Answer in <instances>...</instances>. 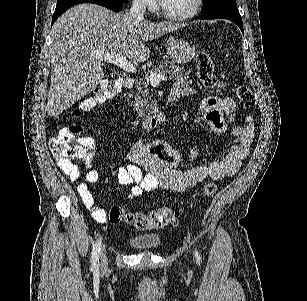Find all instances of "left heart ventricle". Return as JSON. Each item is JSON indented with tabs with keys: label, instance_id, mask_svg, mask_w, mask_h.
Returning a JSON list of instances; mask_svg holds the SVG:
<instances>
[{
	"label": "left heart ventricle",
	"instance_id": "left-heart-ventricle-1",
	"mask_svg": "<svg viewBox=\"0 0 307 301\" xmlns=\"http://www.w3.org/2000/svg\"><path fill=\"white\" fill-rule=\"evenodd\" d=\"M194 0H165L166 11H190Z\"/></svg>",
	"mask_w": 307,
	"mask_h": 301
}]
</instances>
